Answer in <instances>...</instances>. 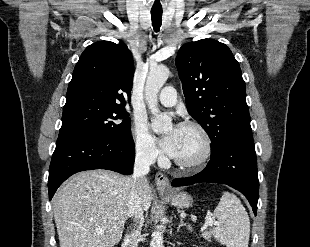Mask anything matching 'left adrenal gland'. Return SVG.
<instances>
[{
	"label": "left adrenal gland",
	"mask_w": 310,
	"mask_h": 247,
	"mask_svg": "<svg viewBox=\"0 0 310 247\" xmlns=\"http://www.w3.org/2000/svg\"><path fill=\"white\" fill-rule=\"evenodd\" d=\"M182 226H186V224L183 222V219L181 218V219H180V224L178 225V228H177V232L180 230V228H181ZM188 228H190V227H188Z\"/></svg>",
	"instance_id": "1"
}]
</instances>
